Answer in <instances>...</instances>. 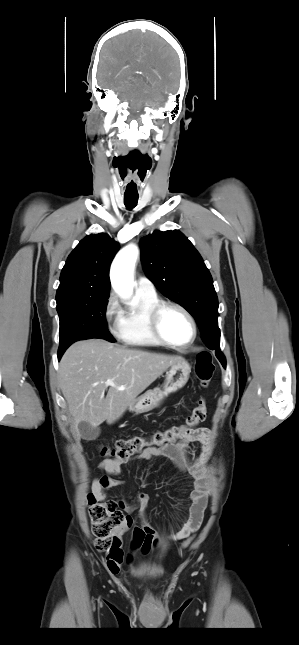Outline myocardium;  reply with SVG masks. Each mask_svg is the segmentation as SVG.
Listing matches in <instances>:
<instances>
[{"label":"myocardium","instance_id":"obj_1","mask_svg":"<svg viewBox=\"0 0 299 645\" xmlns=\"http://www.w3.org/2000/svg\"><path fill=\"white\" fill-rule=\"evenodd\" d=\"M168 308H174L181 311L189 320L192 327V336L186 343H175L168 340L161 329V319L164 311ZM149 324L153 335L163 344L172 348H186L194 343L197 337V323L190 311L183 305L173 301H160L156 304L149 314Z\"/></svg>","mask_w":299,"mask_h":645}]
</instances>
